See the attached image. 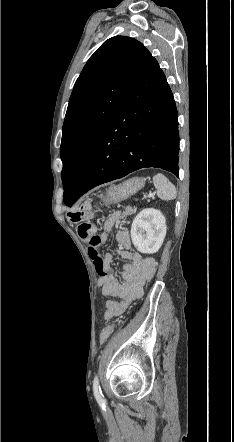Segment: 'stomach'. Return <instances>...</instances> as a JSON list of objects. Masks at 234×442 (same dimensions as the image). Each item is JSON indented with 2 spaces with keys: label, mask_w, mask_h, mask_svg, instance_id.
Returning <instances> with one entry per match:
<instances>
[{
  "label": "stomach",
  "mask_w": 234,
  "mask_h": 442,
  "mask_svg": "<svg viewBox=\"0 0 234 442\" xmlns=\"http://www.w3.org/2000/svg\"><path fill=\"white\" fill-rule=\"evenodd\" d=\"M145 179L141 177H133L119 185H113L106 190L105 194H100L102 205L118 203L134 195L144 187ZM91 199H86L79 208L68 213V220L72 223H79L90 220L95 216L96 211L93 209Z\"/></svg>",
  "instance_id": "1"
}]
</instances>
